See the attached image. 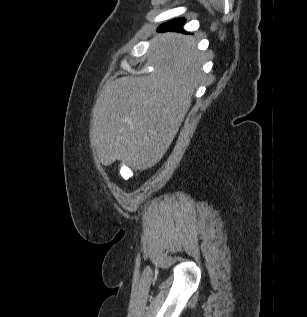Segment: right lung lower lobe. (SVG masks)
<instances>
[{
  "instance_id": "1",
  "label": "right lung lower lobe",
  "mask_w": 307,
  "mask_h": 317,
  "mask_svg": "<svg viewBox=\"0 0 307 317\" xmlns=\"http://www.w3.org/2000/svg\"><path fill=\"white\" fill-rule=\"evenodd\" d=\"M185 23V18H177L170 22H166L159 26L158 31H184L183 25Z\"/></svg>"
}]
</instances>
